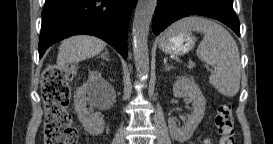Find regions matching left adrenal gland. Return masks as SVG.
<instances>
[{
  "mask_svg": "<svg viewBox=\"0 0 273 144\" xmlns=\"http://www.w3.org/2000/svg\"><path fill=\"white\" fill-rule=\"evenodd\" d=\"M164 65H165V71H169L172 68V66L166 63V61H164Z\"/></svg>",
  "mask_w": 273,
  "mask_h": 144,
  "instance_id": "left-adrenal-gland-1",
  "label": "left adrenal gland"
}]
</instances>
